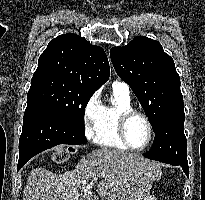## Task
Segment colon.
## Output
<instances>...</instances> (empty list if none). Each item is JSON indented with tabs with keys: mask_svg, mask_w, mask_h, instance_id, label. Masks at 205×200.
Here are the masks:
<instances>
[{
	"mask_svg": "<svg viewBox=\"0 0 205 200\" xmlns=\"http://www.w3.org/2000/svg\"><path fill=\"white\" fill-rule=\"evenodd\" d=\"M73 154H74V150L66 149L61 152L56 153L53 159L58 164H64L71 159Z\"/></svg>",
	"mask_w": 205,
	"mask_h": 200,
	"instance_id": "1",
	"label": "colon"
}]
</instances>
